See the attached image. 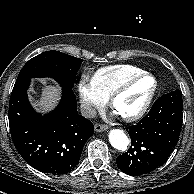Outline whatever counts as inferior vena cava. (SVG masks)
Here are the masks:
<instances>
[{"label":"inferior vena cava","mask_w":194,"mask_h":194,"mask_svg":"<svg viewBox=\"0 0 194 194\" xmlns=\"http://www.w3.org/2000/svg\"><path fill=\"white\" fill-rule=\"evenodd\" d=\"M80 111H81V114L87 118H93L96 116L95 108L88 102L81 104Z\"/></svg>","instance_id":"602c4592"}]
</instances>
